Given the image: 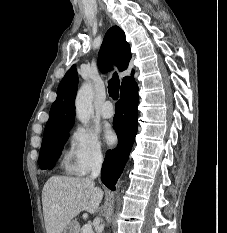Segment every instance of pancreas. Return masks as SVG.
Wrapping results in <instances>:
<instances>
[{
	"label": "pancreas",
	"instance_id": "pancreas-1",
	"mask_svg": "<svg viewBox=\"0 0 227 233\" xmlns=\"http://www.w3.org/2000/svg\"><path fill=\"white\" fill-rule=\"evenodd\" d=\"M79 233H82V228L79 230Z\"/></svg>",
	"mask_w": 227,
	"mask_h": 233
}]
</instances>
